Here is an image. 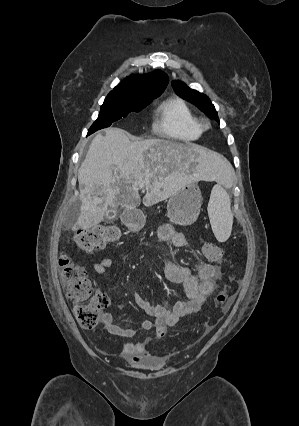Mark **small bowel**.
Wrapping results in <instances>:
<instances>
[{
  "mask_svg": "<svg viewBox=\"0 0 299 426\" xmlns=\"http://www.w3.org/2000/svg\"><path fill=\"white\" fill-rule=\"evenodd\" d=\"M158 238L161 242L171 243L175 247H184L187 243L185 236L168 224L159 228ZM165 255L163 252L164 258ZM112 266L113 261L104 257L93 264V269L96 273L105 275ZM164 273L171 282L182 284L186 294L184 301L177 302L172 308H166L150 303L136 292L133 294L136 304L152 318V320L142 321L141 328L153 331L159 337L164 335L167 326H174L183 317L197 312L205 299L213 292L216 281L222 276L220 268L204 261H198L193 272L189 267L165 260ZM100 322L111 335L125 338H133L137 335L136 329L116 324L113 315L107 310L101 311ZM151 342L152 339L149 337L138 338L135 342L124 345L120 355L132 364L154 360L156 357L148 349Z\"/></svg>",
  "mask_w": 299,
  "mask_h": 426,
  "instance_id": "1",
  "label": "small bowel"
}]
</instances>
